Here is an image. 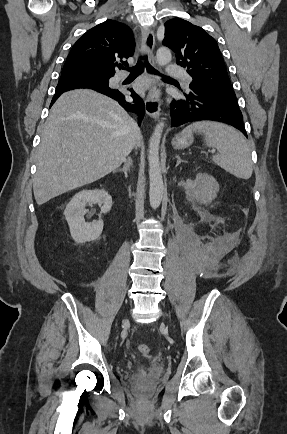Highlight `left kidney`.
<instances>
[{"label":"left kidney","instance_id":"1","mask_svg":"<svg viewBox=\"0 0 287 434\" xmlns=\"http://www.w3.org/2000/svg\"><path fill=\"white\" fill-rule=\"evenodd\" d=\"M185 189L190 198L206 203L217 196L219 184L213 176L207 173H199L194 181L190 179L186 181Z\"/></svg>","mask_w":287,"mask_h":434}]
</instances>
